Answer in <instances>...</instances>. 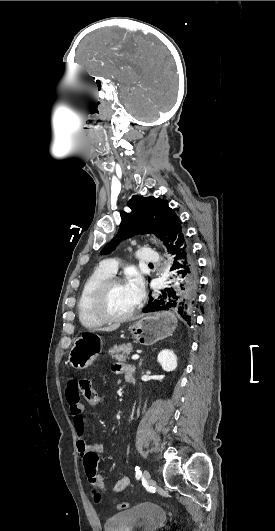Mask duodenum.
Here are the masks:
<instances>
[{
  "mask_svg": "<svg viewBox=\"0 0 275 531\" xmlns=\"http://www.w3.org/2000/svg\"><path fill=\"white\" fill-rule=\"evenodd\" d=\"M133 378H134V373L128 372V373L125 374V379L127 381L131 382L133 380Z\"/></svg>",
  "mask_w": 275,
  "mask_h": 531,
  "instance_id": "1",
  "label": "duodenum"
}]
</instances>
